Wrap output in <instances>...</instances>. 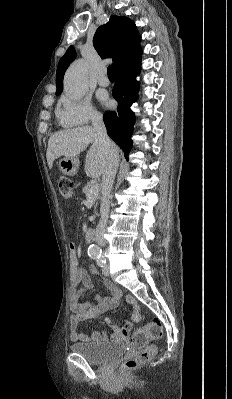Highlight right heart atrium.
Listing matches in <instances>:
<instances>
[{
  "label": "right heart atrium",
  "mask_w": 232,
  "mask_h": 399,
  "mask_svg": "<svg viewBox=\"0 0 232 399\" xmlns=\"http://www.w3.org/2000/svg\"><path fill=\"white\" fill-rule=\"evenodd\" d=\"M56 116L64 128H71V125H88L98 119V115L91 106L81 103H68L67 96L57 106Z\"/></svg>",
  "instance_id": "obj_1"
}]
</instances>
